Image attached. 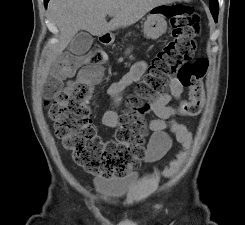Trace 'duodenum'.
<instances>
[{"instance_id": "1", "label": "duodenum", "mask_w": 245, "mask_h": 225, "mask_svg": "<svg viewBox=\"0 0 245 225\" xmlns=\"http://www.w3.org/2000/svg\"><path fill=\"white\" fill-rule=\"evenodd\" d=\"M98 39H99L100 43L107 45L111 41V36L108 33H103V34L99 35Z\"/></svg>"}]
</instances>
